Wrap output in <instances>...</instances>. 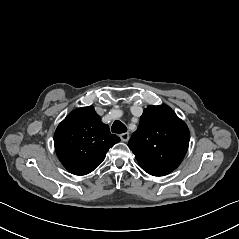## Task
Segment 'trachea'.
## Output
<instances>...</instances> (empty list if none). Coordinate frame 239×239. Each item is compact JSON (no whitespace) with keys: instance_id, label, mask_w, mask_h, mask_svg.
I'll list each match as a JSON object with an SVG mask.
<instances>
[{"instance_id":"trachea-1","label":"trachea","mask_w":239,"mask_h":239,"mask_svg":"<svg viewBox=\"0 0 239 239\" xmlns=\"http://www.w3.org/2000/svg\"><path fill=\"white\" fill-rule=\"evenodd\" d=\"M111 130L113 133L122 134L127 131V127L122 122L116 120V121H114V123L111 127Z\"/></svg>"}]
</instances>
